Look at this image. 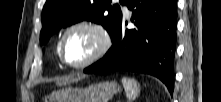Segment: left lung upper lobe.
<instances>
[{
	"label": "left lung upper lobe",
	"mask_w": 221,
	"mask_h": 102,
	"mask_svg": "<svg viewBox=\"0 0 221 102\" xmlns=\"http://www.w3.org/2000/svg\"><path fill=\"white\" fill-rule=\"evenodd\" d=\"M120 3L124 4L125 0ZM121 19L120 6H112L111 0H47L42 12L40 43L45 44L62 27L82 20L101 24L112 38Z\"/></svg>",
	"instance_id": "left-lung-upper-lobe-1"
}]
</instances>
